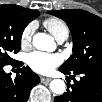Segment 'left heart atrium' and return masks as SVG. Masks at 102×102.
<instances>
[{
    "mask_svg": "<svg viewBox=\"0 0 102 102\" xmlns=\"http://www.w3.org/2000/svg\"><path fill=\"white\" fill-rule=\"evenodd\" d=\"M62 59L58 54H47L36 51L28 56V64L32 70L40 74H49L61 64Z\"/></svg>",
    "mask_w": 102,
    "mask_h": 102,
    "instance_id": "obj_1",
    "label": "left heart atrium"
}]
</instances>
